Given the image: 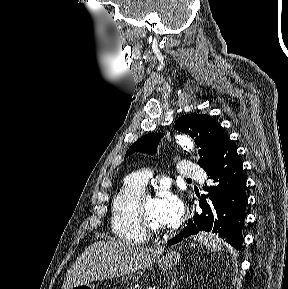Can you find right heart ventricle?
Instances as JSON below:
<instances>
[{
  "label": "right heart ventricle",
  "instance_id": "obj_1",
  "mask_svg": "<svg viewBox=\"0 0 288 289\" xmlns=\"http://www.w3.org/2000/svg\"><path fill=\"white\" fill-rule=\"evenodd\" d=\"M144 190L126 179L113 196L110 225L113 235L122 243L141 245L147 240V235L136 227L133 215L135 202Z\"/></svg>",
  "mask_w": 288,
  "mask_h": 289
}]
</instances>
